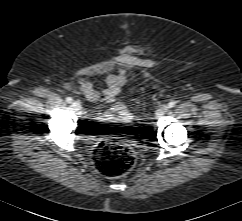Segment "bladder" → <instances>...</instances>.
Segmentation results:
<instances>
[{
    "mask_svg": "<svg viewBox=\"0 0 242 221\" xmlns=\"http://www.w3.org/2000/svg\"><path fill=\"white\" fill-rule=\"evenodd\" d=\"M121 106H122L123 108H126V106H125L124 104H121Z\"/></svg>",
    "mask_w": 242,
    "mask_h": 221,
    "instance_id": "31cf9c89",
    "label": "bladder"
}]
</instances>
